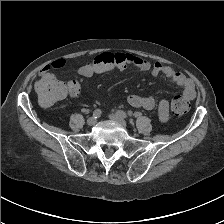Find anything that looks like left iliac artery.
<instances>
[{
  "label": "left iliac artery",
  "mask_w": 224,
  "mask_h": 224,
  "mask_svg": "<svg viewBox=\"0 0 224 224\" xmlns=\"http://www.w3.org/2000/svg\"><path fill=\"white\" fill-rule=\"evenodd\" d=\"M116 114L119 115L122 118H127V114L124 111H122V110H118L116 112Z\"/></svg>",
  "instance_id": "obj_1"
}]
</instances>
